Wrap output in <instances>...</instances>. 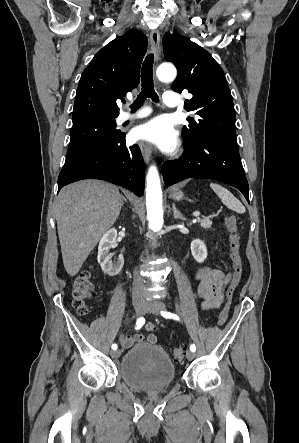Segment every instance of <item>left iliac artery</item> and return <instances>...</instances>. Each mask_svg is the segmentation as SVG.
<instances>
[{"label":"left iliac artery","instance_id":"left-iliac-artery-1","mask_svg":"<svg viewBox=\"0 0 299 443\" xmlns=\"http://www.w3.org/2000/svg\"><path fill=\"white\" fill-rule=\"evenodd\" d=\"M161 315H162L164 318H169V319H174V320H180V318H179L178 315L173 314V313H170V312H167V311H161ZM190 350L193 351V352H195V351H196V346H195L194 344H191V345H190Z\"/></svg>","mask_w":299,"mask_h":443}]
</instances>
